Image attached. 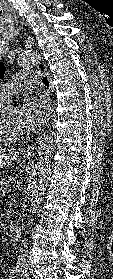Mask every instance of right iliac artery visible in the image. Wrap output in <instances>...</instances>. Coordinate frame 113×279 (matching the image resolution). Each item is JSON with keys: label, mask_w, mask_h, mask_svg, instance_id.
Returning a JSON list of instances; mask_svg holds the SVG:
<instances>
[{"label": "right iliac artery", "mask_w": 113, "mask_h": 279, "mask_svg": "<svg viewBox=\"0 0 113 279\" xmlns=\"http://www.w3.org/2000/svg\"><path fill=\"white\" fill-rule=\"evenodd\" d=\"M10 273H11V276H12L13 278H15V277L18 275L17 269H12Z\"/></svg>", "instance_id": "obj_1"}]
</instances>
